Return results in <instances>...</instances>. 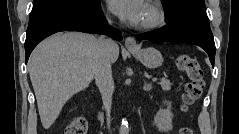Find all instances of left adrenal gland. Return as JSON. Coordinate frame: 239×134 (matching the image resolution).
<instances>
[{
    "label": "left adrenal gland",
    "instance_id": "a2214340",
    "mask_svg": "<svg viewBox=\"0 0 239 134\" xmlns=\"http://www.w3.org/2000/svg\"><path fill=\"white\" fill-rule=\"evenodd\" d=\"M151 88H152V84H147V83H145L144 86H143V89H144L145 91H150Z\"/></svg>",
    "mask_w": 239,
    "mask_h": 134
}]
</instances>
